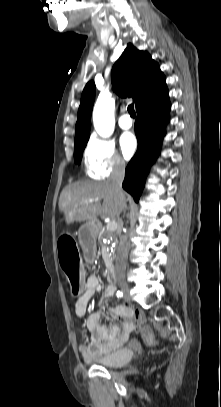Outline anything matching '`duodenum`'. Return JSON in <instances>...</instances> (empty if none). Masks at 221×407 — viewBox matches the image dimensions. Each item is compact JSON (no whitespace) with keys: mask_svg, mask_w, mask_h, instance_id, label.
Listing matches in <instances>:
<instances>
[{"mask_svg":"<svg viewBox=\"0 0 221 407\" xmlns=\"http://www.w3.org/2000/svg\"><path fill=\"white\" fill-rule=\"evenodd\" d=\"M107 280L110 283H114L116 281V273H115V270L112 267H109L107 269Z\"/></svg>","mask_w":221,"mask_h":407,"instance_id":"1","label":"duodenum"}]
</instances>
